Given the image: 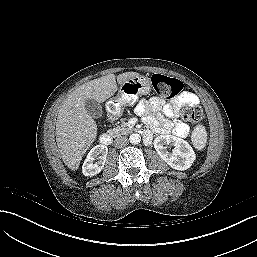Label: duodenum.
Instances as JSON below:
<instances>
[{
    "instance_id": "1",
    "label": "duodenum",
    "mask_w": 257,
    "mask_h": 257,
    "mask_svg": "<svg viewBox=\"0 0 257 257\" xmlns=\"http://www.w3.org/2000/svg\"><path fill=\"white\" fill-rule=\"evenodd\" d=\"M139 133L147 140L149 139V133L146 131V130H139ZM100 143L102 145H105V146H108L111 144V141H112V138L110 136V134L108 133H103L101 136H100Z\"/></svg>"
}]
</instances>
